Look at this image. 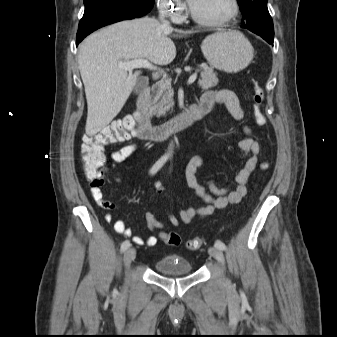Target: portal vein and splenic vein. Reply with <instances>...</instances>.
Instances as JSON below:
<instances>
[{
    "instance_id": "18ae733b",
    "label": "portal vein and splenic vein",
    "mask_w": 337,
    "mask_h": 337,
    "mask_svg": "<svg viewBox=\"0 0 337 337\" xmlns=\"http://www.w3.org/2000/svg\"><path fill=\"white\" fill-rule=\"evenodd\" d=\"M119 67L122 68V69H125V70H132V69H135V68H146V69H149V70H160L146 59L120 62ZM196 79H197V74L196 73L192 74L188 79V84H192L193 82H195Z\"/></svg>"
}]
</instances>
